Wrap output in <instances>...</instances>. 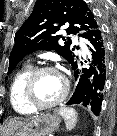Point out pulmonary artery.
I'll return each instance as SVG.
<instances>
[{"label": "pulmonary artery", "mask_w": 117, "mask_h": 136, "mask_svg": "<svg viewBox=\"0 0 117 136\" xmlns=\"http://www.w3.org/2000/svg\"><path fill=\"white\" fill-rule=\"evenodd\" d=\"M76 41H79V40L76 39ZM79 43H80L81 47L84 48V44L81 41H79Z\"/></svg>", "instance_id": "e3ab8cb5"}]
</instances>
